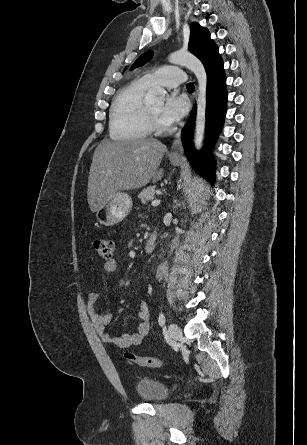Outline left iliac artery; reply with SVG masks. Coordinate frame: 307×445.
<instances>
[{"instance_id": "1", "label": "left iliac artery", "mask_w": 307, "mask_h": 445, "mask_svg": "<svg viewBox=\"0 0 307 445\" xmlns=\"http://www.w3.org/2000/svg\"><path fill=\"white\" fill-rule=\"evenodd\" d=\"M166 318L164 313L160 312L159 317H158V323L160 326H163L165 324Z\"/></svg>"}]
</instances>
